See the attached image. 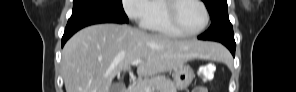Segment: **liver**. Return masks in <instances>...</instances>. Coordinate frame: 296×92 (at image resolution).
I'll use <instances>...</instances> for the list:
<instances>
[{
	"mask_svg": "<svg viewBox=\"0 0 296 92\" xmlns=\"http://www.w3.org/2000/svg\"><path fill=\"white\" fill-rule=\"evenodd\" d=\"M223 48L197 40L177 41L129 25L98 24L77 32L62 51L66 92H111L120 72L137 66L139 77L176 70L193 59H216Z\"/></svg>",
	"mask_w": 296,
	"mask_h": 92,
	"instance_id": "1",
	"label": "liver"
}]
</instances>
